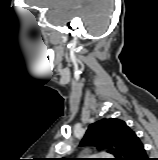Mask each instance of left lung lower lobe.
Instances as JSON below:
<instances>
[{
    "label": "left lung lower lobe",
    "mask_w": 158,
    "mask_h": 160,
    "mask_svg": "<svg viewBox=\"0 0 158 160\" xmlns=\"http://www.w3.org/2000/svg\"><path fill=\"white\" fill-rule=\"evenodd\" d=\"M124 157L119 160H149L140 139L133 132L127 142Z\"/></svg>",
    "instance_id": "obj_1"
}]
</instances>
